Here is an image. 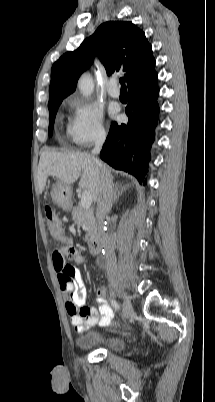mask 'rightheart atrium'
I'll use <instances>...</instances> for the list:
<instances>
[{
  "instance_id": "1",
  "label": "right heart atrium",
  "mask_w": 215,
  "mask_h": 402,
  "mask_svg": "<svg viewBox=\"0 0 215 402\" xmlns=\"http://www.w3.org/2000/svg\"><path fill=\"white\" fill-rule=\"evenodd\" d=\"M70 104L74 114L67 133L71 141L79 147L101 141L105 137L102 110L82 99H73Z\"/></svg>"
}]
</instances>
